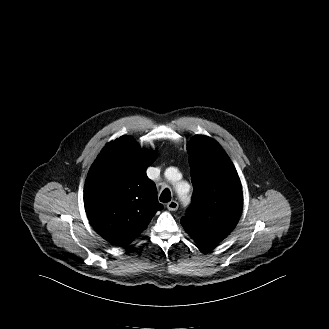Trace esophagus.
I'll list each match as a JSON object with an SVG mask.
<instances>
[{
  "instance_id": "esophagus-1",
  "label": "esophagus",
  "mask_w": 329,
  "mask_h": 329,
  "mask_svg": "<svg viewBox=\"0 0 329 329\" xmlns=\"http://www.w3.org/2000/svg\"><path fill=\"white\" fill-rule=\"evenodd\" d=\"M179 207V204L178 202L176 201H170L168 204H167V208L168 210L170 211H176Z\"/></svg>"
}]
</instances>
